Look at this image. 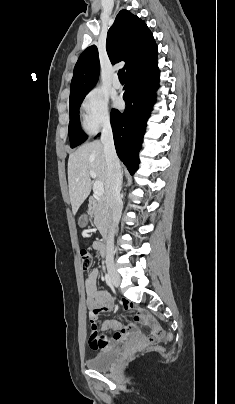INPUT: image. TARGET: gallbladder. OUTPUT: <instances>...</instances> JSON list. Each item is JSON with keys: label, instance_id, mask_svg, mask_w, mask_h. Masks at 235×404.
Segmentation results:
<instances>
[{"label": "gallbladder", "instance_id": "1", "mask_svg": "<svg viewBox=\"0 0 235 404\" xmlns=\"http://www.w3.org/2000/svg\"><path fill=\"white\" fill-rule=\"evenodd\" d=\"M87 221H88L87 216H86V215H82V216L79 218L78 224H79L80 227H85L86 224H87Z\"/></svg>", "mask_w": 235, "mask_h": 404}]
</instances>
